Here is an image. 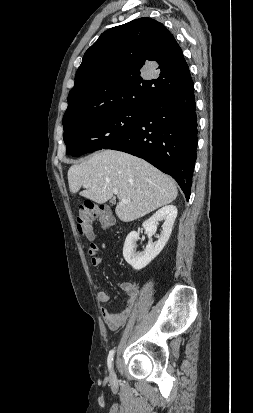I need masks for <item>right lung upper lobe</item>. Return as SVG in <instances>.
Returning a JSON list of instances; mask_svg holds the SVG:
<instances>
[{
    "instance_id": "obj_1",
    "label": "right lung upper lobe",
    "mask_w": 253,
    "mask_h": 413,
    "mask_svg": "<svg viewBox=\"0 0 253 413\" xmlns=\"http://www.w3.org/2000/svg\"><path fill=\"white\" fill-rule=\"evenodd\" d=\"M149 62L157 64L150 80L145 79ZM191 81L174 36L156 20L135 19L102 33L85 52L62 124L117 108L142 109Z\"/></svg>"
}]
</instances>
